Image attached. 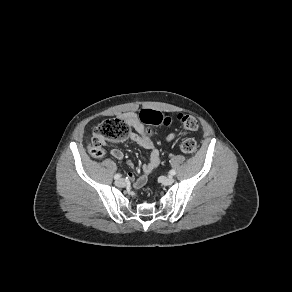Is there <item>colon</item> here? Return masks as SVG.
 Here are the masks:
<instances>
[{"instance_id":"1","label":"colon","mask_w":292,"mask_h":292,"mask_svg":"<svg viewBox=\"0 0 292 292\" xmlns=\"http://www.w3.org/2000/svg\"><path fill=\"white\" fill-rule=\"evenodd\" d=\"M140 120L147 125L146 131L151 135V126L158 124H168L169 119L164 118L161 113L146 109L142 110ZM182 126L189 131H194L198 127L197 120L190 115L180 114L178 116ZM130 135V126L123 119H108L101 122L94 130L92 143L89 146V152L94 157H100L103 154L102 141L120 142L126 140ZM200 140L197 137L186 138L181 143V150L187 154H193L198 151Z\"/></svg>"}]
</instances>
